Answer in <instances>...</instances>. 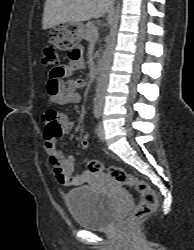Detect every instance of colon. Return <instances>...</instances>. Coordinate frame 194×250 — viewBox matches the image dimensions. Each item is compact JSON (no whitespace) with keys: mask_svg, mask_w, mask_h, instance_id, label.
Wrapping results in <instances>:
<instances>
[{"mask_svg":"<svg viewBox=\"0 0 194 250\" xmlns=\"http://www.w3.org/2000/svg\"><path fill=\"white\" fill-rule=\"evenodd\" d=\"M79 58V50H73L70 54V59L76 61ZM42 64L44 66L54 68V75L60 76L62 74L61 71H57L60 68L61 57L56 48L53 46H46L43 48ZM81 146L83 149L88 148L89 142L86 137L81 140ZM86 164L91 173L103 174L116 184L132 187L138 192L140 201L134 212L131 214L129 222H136L144 217L152 215L156 211V193L147 182L128 173L126 170L118 166H105L97 160H87Z\"/></svg>","mask_w":194,"mask_h":250,"instance_id":"1","label":"colon"}]
</instances>
